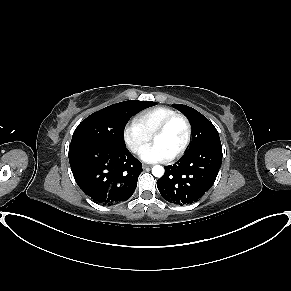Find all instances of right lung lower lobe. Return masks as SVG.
<instances>
[{
	"label": "right lung lower lobe",
	"mask_w": 291,
	"mask_h": 291,
	"mask_svg": "<svg viewBox=\"0 0 291 291\" xmlns=\"http://www.w3.org/2000/svg\"><path fill=\"white\" fill-rule=\"evenodd\" d=\"M74 179L93 201L114 205L134 193L142 164L127 148L78 145L69 148Z\"/></svg>",
	"instance_id": "right-lung-lower-lobe-1"
}]
</instances>
